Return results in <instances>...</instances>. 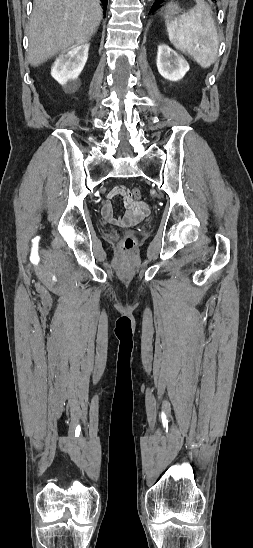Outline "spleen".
<instances>
[{
  "label": "spleen",
  "instance_id": "3e777b00",
  "mask_svg": "<svg viewBox=\"0 0 253 548\" xmlns=\"http://www.w3.org/2000/svg\"><path fill=\"white\" fill-rule=\"evenodd\" d=\"M195 1L196 5L178 19L166 21L167 32L176 49L205 69L217 58L219 40L209 5L204 0Z\"/></svg>",
  "mask_w": 253,
  "mask_h": 548
}]
</instances>
